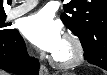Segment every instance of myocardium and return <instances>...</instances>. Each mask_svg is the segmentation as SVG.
Wrapping results in <instances>:
<instances>
[{
    "label": "myocardium",
    "mask_w": 107,
    "mask_h": 75,
    "mask_svg": "<svg viewBox=\"0 0 107 75\" xmlns=\"http://www.w3.org/2000/svg\"><path fill=\"white\" fill-rule=\"evenodd\" d=\"M64 39L68 42L71 48V56L67 59H59L53 54L51 62L59 68H70L80 64L84 59V50L81 41L71 32H67L64 35Z\"/></svg>",
    "instance_id": "1"
}]
</instances>
